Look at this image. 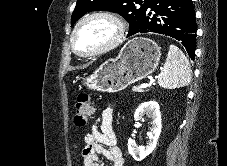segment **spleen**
<instances>
[{
    "instance_id": "1",
    "label": "spleen",
    "mask_w": 227,
    "mask_h": 166,
    "mask_svg": "<svg viewBox=\"0 0 227 166\" xmlns=\"http://www.w3.org/2000/svg\"><path fill=\"white\" fill-rule=\"evenodd\" d=\"M192 70L185 54L175 45H170L166 63L158 75V84L165 89H175L190 84Z\"/></svg>"
}]
</instances>
